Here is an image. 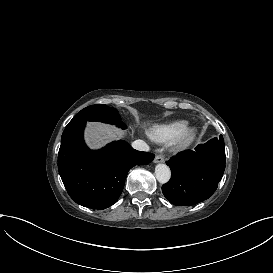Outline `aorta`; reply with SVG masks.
Here are the masks:
<instances>
[{"instance_id": "obj_1", "label": "aorta", "mask_w": 273, "mask_h": 273, "mask_svg": "<svg viewBox=\"0 0 273 273\" xmlns=\"http://www.w3.org/2000/svg\"><path fill=\"white\" fill-rule=\"evenodd\" d=\"M155 176L159 183L165 184L171 178L170 168L165 164H158L155 167Z\"/></svg>"}]
</instances>
